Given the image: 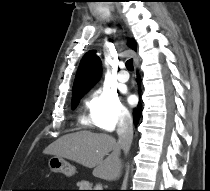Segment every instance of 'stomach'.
<instances>
[{
    "label": "stomach",
    "mask_w": 210,
    "mask_h": 191,
    "mask_svg": "<svg viewBox=\"0 0 210 191\" xmlns=\"http://www.w3.org/2000/svg\"><path fill=\"white\" fill-rule=\"evenodd\" d=\"M48 165L52 172L62 173L68 177L73 176L76 172L75 167L62 157H51L49 159Z\"/></svg>",
    "instance_id": "1"
}]
</instances>
